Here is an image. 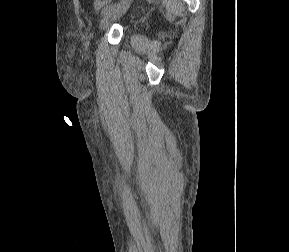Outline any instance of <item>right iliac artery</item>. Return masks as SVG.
Masks as SVG:
<instances>
[{
  "label": "right iliac artery",
  "instance_id": "1",
  "mask_svg": "<svg viewBox=\"0 0 289 252\" xmlns=\"http://www.w3.org/2000/svg\"><path fill=\"white\" fill-rule=\"evenodd\" d=\"M118 4H111L109 6H106L103 10H102V15L107 14L108 12H110L112 9H114Z\"/></svg>",
  "mask_w": 289,
  "mask_h": 252
}]
</instances>
